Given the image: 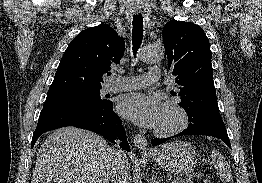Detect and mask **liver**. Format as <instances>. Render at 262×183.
Here are the masks:
<instances>
[{
	"label": "liver",
	"mask_w": 262,
	"mask_h": 183,
	"mask_svg": "<svg viewBox=\"0 0 262 183\" xmlns=\"http://www.w3.org/2000/svg\"><path fill=\"white\" fill-rule=\"evenodd\" d=\"M109 149L93 132L55 130L39 149L31 183H110Z\"/></svg>",
	"instance_id": "liver-1"
}]
</instances>
